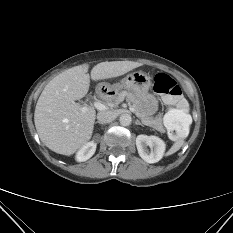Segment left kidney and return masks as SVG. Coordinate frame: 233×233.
<instances>
[{"mask_svg":"<svg viewBox=\"0 0 233 233\" xmlns=\"http://www.w3.org/2000/svg\"><path fill=\"white\" fill-rule=\"evenodd\" d=\"M136 146L139 156L147 163H156L164 155L165 143L157 136L138 135ZM150 148V151L147 149Z\"/></svg>","mask_w":233,"mask_h":233,"instance_id":"1","label":"left kidney"}]
</instances>
